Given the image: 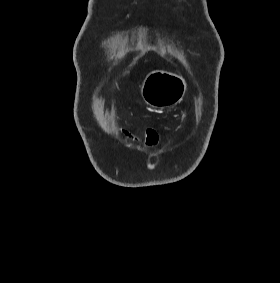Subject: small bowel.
Masks as SVG:
<instances>
[{"label":"small bowel","instance_id":"small-bowel-1","mask_svg":"<svg viewBox=\"0 0 280 283\" xmlns=\"http://www.w3.org/2000/svg\"><path fill=\"white\" fill-rule=\"evenodd\" d=\"M121 134L124 136V138H126L128 141L132 142V143H138V138L132 134L130 131L126 130V129H121ZM146 146L147 147H154L157 145V141H158V135L156 133L155 130L153 129H149L147 131L146 134Z\"/></svg>","mask_w":280,"mask_h":283}]
</instances>
